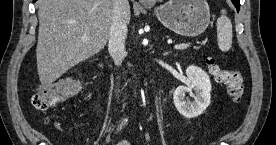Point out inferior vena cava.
Listing matches in <instances>:
<instances>
[{
	"label": "inferior vena cava",
	"mask_w": 276,
	"mask_h": 145,
	"mask_svg": "<svg viewBox=\"0 0 276 145\" xmlns=\"http://www.w3.org/2000/svg\"><path fill=\"white\" fill-rule=\"evenodd\" d=\"M129 7L128 0H114V13L109 34L108 50L115 65L120 66L127 52L125 39L127 37V24L125 10Z\"/></svg>",
	"instance_id": "obj_1"
}]
</instances>
